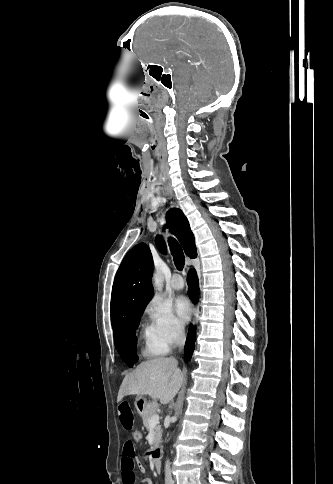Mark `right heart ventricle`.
Segmentation results:
<instances>
[{"label":"right heart ventricle","instance_id":"e07e8e85","mask_svg":"<svg viewBox=\"0 0 333 484\" xmlns=\"http://www.w3.org/2000/svg\"><path fill=\"white\" fill-rule=\"evenodd\" d=\"M141 336L145 342V353L149 356L162 354L154 344L153 336L150 327H143L141 331Z\"/></svg>","mask_w":333,"mask_h":484}]
</instances>
